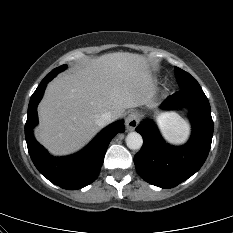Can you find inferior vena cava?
Segmentation results:
<instances>
[{
  "label": "inferior vena cava",
  "mask_w": 233,
  "mask_h": 233,
  "mask_svg": "<svg viewBox=\"0 0 233 233\" xmlns=\"http://www.w3.org/2000/svg\"><path fill=\"white\" fill-rule=\"evenodd\" d=\"M113 120V115L111 112H105L100 115V117L96 120V124L99 127H104Z\"/></svg>",
  "instance_id": "obj_1"
}]
</instances>
